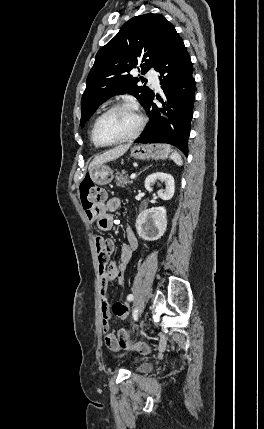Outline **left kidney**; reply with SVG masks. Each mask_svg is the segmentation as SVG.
<instances>
[{
    "instance_id": "5707ae66",
    "label": "left kidney",
    "mask_w": 264,
    "mask_h": 429,
    "mask_svg": "<svg viewBox=\"0 0 264 429\" xmlns=\"http://www.w3.org/2000/svg\"><path fill=\"white\" fill-rule=\"evenodd\" d=\"M160 180L165 183V190L158 192L162 200H170L175 192L174 178L167 173L155 172L147 176L145 188L152 191V183ZM167 219L166 209L164 207H153L142 211L136 219V229L138 235L147 241H155L166 231Z\"/></svg>"
}]
</instances>
